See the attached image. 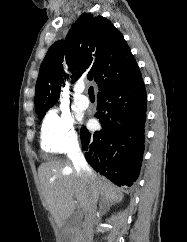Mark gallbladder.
Wrapping results in <instances>:
<instances>
[{"instance_id": "obj_1", "label": "gallbladder", "mask_w": 187, "mask_h": 242, "mask_svg": "<svg viewBox=\"0 0 187 242\" xmlns=\"http://www.w3.org/2000/svg\"><path fill=\"white\" fill-rule=\"evenodd\" d=\"M76 218V214H72L70 217H68L64 222V229L73 226L75 224ZM62 242H70V238L66 232H63Z\"/></svg>"}]
</instances>
